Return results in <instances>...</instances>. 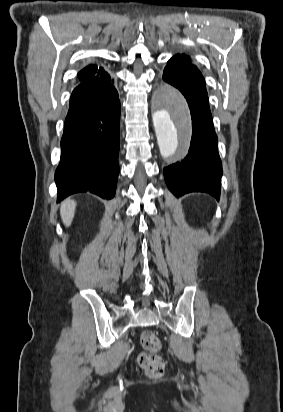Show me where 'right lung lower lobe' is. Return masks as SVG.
<instances>
[{
  "mask_svg": "<svg viewBox=\"0 0 283 412\" xmlns=\"http://www.w3.org/2000/svg\"><path fill=\"white\" fill-rule=\"evenodd\" d=\"M120 101L113 80L93 77L78 84L70 98L55 172L57 201L92 192L115 195L119 174Z\"/></svg>",
  "mask_w": 283,
  "mask_h": 412,
  "instance_id": "1",
  "label": "right lung lower lobe"
}]
</instances>
